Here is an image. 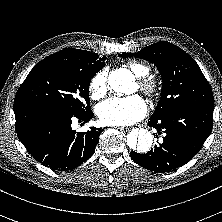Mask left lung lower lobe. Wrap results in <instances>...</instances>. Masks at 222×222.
I'll return each instance as SVG.
<instances>
[{
	"label": "left lung lower lobe",
	"instance_id": "1",
	"mask_svg": "<svg viewBox=\"0 0 222 222\" xmlns=\"http://www.w3.org/2000/svg\"><path fill=\"white\" fill-rule=\"evenodd\" d=\"M213 111L214 107L186 106L160 118L150 117L148 125L165 133L163 143L146 154L132 151L131 158L154 172L176 170L202 148L213 127Z\"/></svg>",
	"mask_w": 222,
	"mask_h": 222
}]
</instances>
